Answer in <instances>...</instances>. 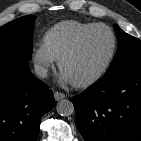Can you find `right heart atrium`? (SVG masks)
Here are the masks:
<instances>
[{
	"mask_svg": "<svg viewBox=\"0 0 141 141\" xmlns=\"http://www.w3.org/2000/svg\"><path fill=\"white\" fill-rule=\"evenodd\" d=\"M31 60L36 74L41 78H46L50 71L56 66V60L42 45L33 48L31 52Z\"/></svg>",
	"mask_w": 141,
	"mask_h": 141,
	"instance_id": "obj_1",
	"label": "right heart atrium"
}]
</instances>
